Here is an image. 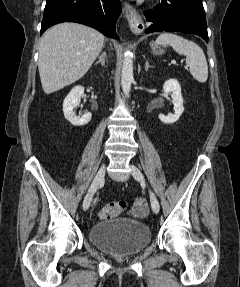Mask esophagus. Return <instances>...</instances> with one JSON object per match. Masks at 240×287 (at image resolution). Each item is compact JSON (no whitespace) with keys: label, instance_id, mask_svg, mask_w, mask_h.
<instances>
[{"label":"esophagus","instance_id":"esophagus-1","mask_svg":"<svg viewBox=\"0 0 240 287\" xmlns=\"http://www.w3.org/2000/svg\"><path fill=\"white\" fill-rule=\"evenodd\" d=\"M124 13L131 31L136 35L140 34L144 30V23L136 9L132 5L126 3L124 5Z\"/></svg>","mask_w":240,"mask_h":287}]
</instances>
